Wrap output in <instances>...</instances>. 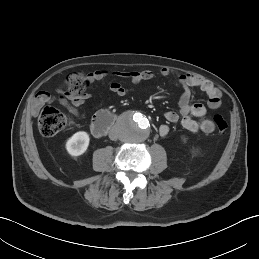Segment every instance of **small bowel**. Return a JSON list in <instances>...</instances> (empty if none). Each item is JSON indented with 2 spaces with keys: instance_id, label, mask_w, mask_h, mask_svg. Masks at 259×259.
Listing matches in <instances>:
<instances>
[{
  "instance_id": "1",
  "label": "small bowel",
  "mask_w": 259,
  "mask_h": 259,
  "mask_svg": "<svg viewBox=\"0 0 259 259\" xmlns=\"http://www.w3.org/2000/svg\"><path fill=\"white\" fill-rule=\"evenodd\" d=\"M160 74L163 77H169L173 74L170 68H162ZM111 75L114 79L106 85L107 89L118 96H124L127 93V88L117 79H127L133 83L152 80L155 73L150 70L143 71H115L111 74L107 70L99 69L89 74V82H97ZM178 81L183 86L184 91L179 99V113L175 111H167L164 118L169 123H176L181 117L182 126L193 133L203 132L210 134L215 127L213 122L206 117L207 109L202 103H192L190 88H196L208 97L207 106L211 109H217L221 105L222 92L210 80L193 74H180ZM92 93L84 92L78 97H69L66 95L63 88L59 87L56 90V95L49 92L41 91L33 99L31 105L32 114L36 115L39 110L45 105L53 102H58L65 107L71 114L76 117H83L84 112L82 106L92 98ZM169 127L161 125L159 127L160 136H167Z\"/></svg>"
}]
</instances>
